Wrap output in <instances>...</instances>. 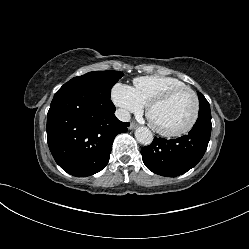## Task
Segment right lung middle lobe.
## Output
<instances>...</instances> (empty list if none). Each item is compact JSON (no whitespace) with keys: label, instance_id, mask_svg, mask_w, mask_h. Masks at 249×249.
Masks as SVG:
<instances>
[{"label":"right lung middle lobe","instance_id":"right-lung-middle-lobe-1","mask_svg":"<svg viewBox=\"0 0 249 249\" xmlns=\"http://www.w3.org/2000/svg\"><path fill=\"white\" fill-rule=\"evenodd\" d=\"M124 74L119 71H94L86 73L82 76L74 77L66 84H76L80 86H87L95 89L98 93L104 94L107 97L111 95L112 86Z\"/></svg>","mask_w":249,"mask_h":249}]
</instances>
